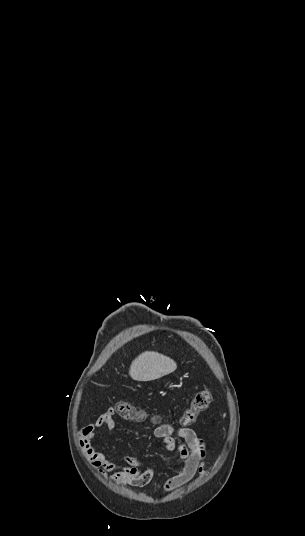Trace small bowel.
Listing matches in <instances>:
<instances>
[{
    "label": "small bowel",
    "instance_id": "1",
    "mask_svg": "<svg viewBox=\"0 0 305 536\" xmlns=\"http://www.w3.org/2000/svg\"><path fill=\"white\" fill-rule=\"evenodd\" d=\"M104 422L107 427L115 425L112 409L103 411L101 420H97L95 425L102 427ZM97 427L87 423L83 430L77 434L90 465L101 477L116 484H129L136 487L147 485L155 473V465L146 466L145 461L131 456L123 457L124 464L116 463L105 453L96 449L95 438L99 437V434L93 430H97ZM153 436L161 441L166 450H176L182 458L181 466L164 484L166 492L181 487L196 474L204 475L205 442L193 429L188 427L176 428L168 424L167 427H156L153 430Z\"/></svg>",
    "mask_w": 305,
    "mask_h": 536
}]
</instances>
